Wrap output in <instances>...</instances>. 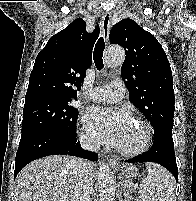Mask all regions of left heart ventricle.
<instances>
[{
  "label": "left heart ventricle",
  "mask_w": 196,
  "mask_h": 201,
  "mask_svg": "<svg viewBox=\"0 0 196 201\" xmlns=\"http://www.w3.org/2000/svg\"><path fill=\"white\" fill-rule=\"evenodd\" d=\"M142 139V128L137 123L132 122L126 132L123 134L118 146L123 149H133L141 144Z\"/></svg>",
  "instance_id": "left-heart-ventricle-1"
}]
</instances>
